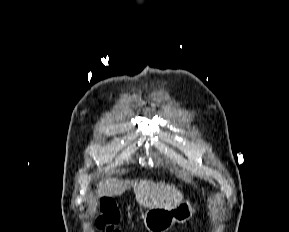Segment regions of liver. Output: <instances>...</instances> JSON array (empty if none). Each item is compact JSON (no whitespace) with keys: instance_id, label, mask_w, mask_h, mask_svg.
Here are the masks:
<instances>
[{"instance_id":"obj_1","label":"liver","mask_w":289,"mask_h":232,"mask_svg":"<svg viewBox=\"0 0 289 232\" xmlns=\"http://www.w3.org/2000/svg\"><path fill=\"white\" fill-rule=\"evenodd\" d=\"M133 187L137 202L147 208L172 207L183 200V194L175 185L150 180H119L104 178L97 184L98 196L122 195L129 186Z\"/></svg>"}]
</instances>
